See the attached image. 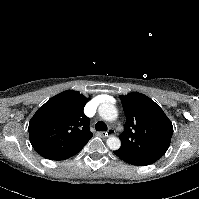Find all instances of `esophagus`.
Here are the masks:
<instances>
[{
    "mask_svg": "<svg viewBox=\"0 0 199 199\" xmlns=\"http://www.w3.org/2000/svg\"><path fill=\"white\" fill-rule=\"evenodd\" d=\"M103 136H113L115 134V130L114 129H109L107 132H102L101 133Z\"/></svg>",
    "mask_w": 199,
    "mask_h": 199,
    "instance_id": "obj_1",
    "label": "esophagus"
}]
</instances>
